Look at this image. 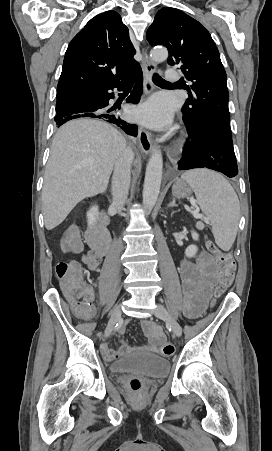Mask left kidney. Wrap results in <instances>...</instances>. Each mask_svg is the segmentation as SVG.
<instances>
[{
	"label": "left kidney",
	"mask_w": 272,
	"mask_h": 451,
	"mask_svg": "<svg viewBox=\"0 0 272 451\" xmlns=\"http://www.w3.org/2000/svg\"><path fill=\"white\" fill-rule=\"evenodd\" d=\"M191 235L193 239H199V235L198 233H196V231H191ZM197 251H198L197 245H194V243H192V245H188V247H186L185 255H187V257H194Z\"/></svg>",
	"instance_id": "left-kidney-1"
}]
</instances>
